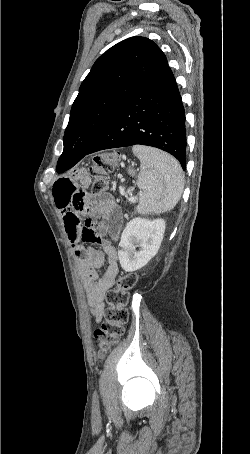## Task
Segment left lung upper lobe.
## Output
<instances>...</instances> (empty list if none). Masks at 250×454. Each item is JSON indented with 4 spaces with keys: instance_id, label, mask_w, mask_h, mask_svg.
Wrapping results in <instances>:
<instances>
[{
    "instance_id": "5c2ea615",
    "label": "left lung upper lobe",
    "mask_w": 250,
    "mask_h": 454,
    "mask_svg": "<svg viewBox=\"0 0 250 454\" xmlns=\"http://www.w3.org/2000/svg\"><path fill=\"white\" fill-rule=\"evenodd\" d=\"M166 64L159 47L138 36L117 43L101 55L73 103L62 154L84 155L112 116Z\"/></svg>"
}]
</instances>
